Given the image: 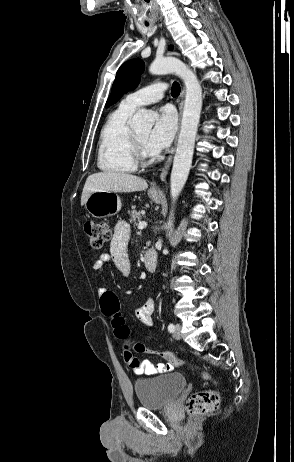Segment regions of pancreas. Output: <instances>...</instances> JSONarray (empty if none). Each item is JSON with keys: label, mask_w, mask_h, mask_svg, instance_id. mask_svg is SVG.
I'll list each match as a JSON object with an SVG mask.
<instances>
[{"label": "pancreas", "mask_w": 294, "mask_h": 462, "mask_svg": "<svg viewBox=\"0 0 294 462\" xmlns=\"http://www.w3.org/2000/svg\"><path fill=\"white\" fill-rule=\"evenodd\" d=\"M129 215H130V222L135 224V225H137L142 219V212L137 211L135 209H132L129 212Z\"/></svg>", "instance_id": "pancreas-1"}]
</instances>
